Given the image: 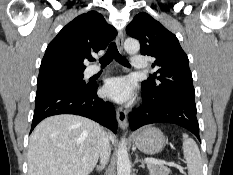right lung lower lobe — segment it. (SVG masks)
<instances>
[{"instance_id":"98d812e1","label":"right lung lower lobe","mask_w":233,"mask_h":175,"mask_svg":"<svg viewBox=\"0 0 233 175\" xmlns=\"http://www.w3.org/2000/svg\"><path fill=\"white\" fill-rule=\"evenodd\" d=\"M97 88L96 83H90L84 88L50 89L36 94L31 131L46 117L75 114L90 118L116 133L115 109L110 102L97 97Z\"/></svg>"}]
</instances>
